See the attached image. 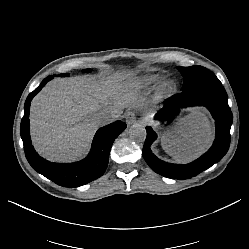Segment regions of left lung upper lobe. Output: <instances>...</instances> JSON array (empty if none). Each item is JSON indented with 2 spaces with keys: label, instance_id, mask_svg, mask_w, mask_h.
Segmentation results:
<instances>
[{
  "label": "left lung upper lobe",
  "instance_id": "1",
  "mask_svg": "<svg viewBox=\"0 0 249 249\" xmlns=\"http://www.w3.org/2000/svg\"><path fill=\"white\" fill-rule=\"evenodd\" d=\"M177 68L184 78L182 92H189L205 85L221 84L213 72L202 66Z\"/></svg>",
  "mask_w": 249,
  "mask_h": 249
}]
</instances>
